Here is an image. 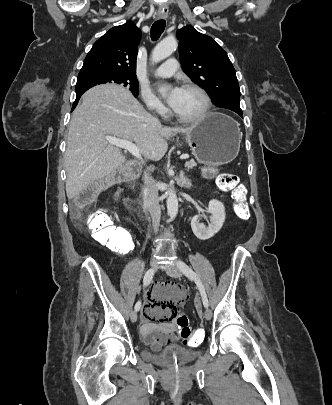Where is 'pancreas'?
<instances>
[{
	"label": "pancreas",
	"instance_id": "cf45deb5",
	"mask_svg": "<svg viewBox=\"0 0 332 405\" xmlns=\"http://www.w3.org/2000/svg\"><path fill=\"white\" fill-rule=\"evenodd\" d=\"M197 164L194 162V161H189L187 164H186V167H188V168H193V167H195Z\"/></svg>",
	"mask_w": 332,
	"mask_h": 405
}]
</instances>
